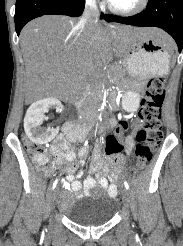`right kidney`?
<instances>
[{
	"mask_svg": "<svg viewBox=\"0 0 183 246\" xmlns=\"http://www.w3.org/2000/svg\"><path fill=\"white\" fill-rule=\"evenodd\" d=\"M52 108L61 112L63 106L55 98H46L33 103L26 112L24 129L29 139L35 144H46L55 136L53 129L41 127L43 121L47 119L45 113Z\"/></svg>",
	"mask_w": 183,
	"mask_h": 246,
	"instance_id": "1",
	"label": "right kidney"
}]
</instances>
